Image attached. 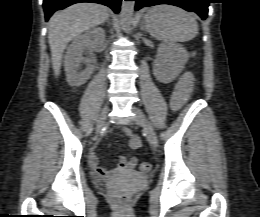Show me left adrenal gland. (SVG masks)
I'll use <instances>...</instances> for the list:
<instances>
[{
  "label": "left adrenal gland",
  "instance_id": "1",
  "mask_svg": "<svg viewBox=\"0 0 260 217\" xmlns=\"http://www.w3.org/2000/svg\"><path fill=\"white\" fill-rule=\"evenodd\" d=\"M141 30L147 32V28L144 21L141 23Z\"/></svg>",
  "mask_w": 260,
  "mask_h": 217
}]
</instances>
